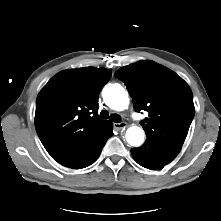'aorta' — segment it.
<instances>
[{
  "label": "aorta",
  "mask_w": 221,
  "mask_h": 221,
  "mask_svg": "<svg viewBox=\"0 0 221 221\" xmlns=\"http://www.w3.org/2000/svg\"><path fill=\"white\" fill-rule=\"evenodd\" d=\"M103 98L108 107L116 111H122L129 104L128 92L120 84H108L103 89ZM126 141L134 147L140 146L144 141L142 128L133 126L126 131Z\"/></svg>",
  "instance_id": "1"
}]
</instances>
